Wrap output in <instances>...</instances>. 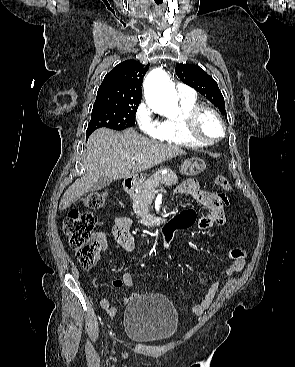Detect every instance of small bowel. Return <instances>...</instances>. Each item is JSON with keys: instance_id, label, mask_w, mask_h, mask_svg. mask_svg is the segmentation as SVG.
Instances as JSON below:
<instances>
[{"instance_id": "c3829d8e", "label": "small bowel", "mask_w": 295, "mask_h": 367, "mask_svg": "<svg viewBox=\"0 0 295 367\" xmlns=\"http://www.w3.org/2000/svg\"><path fill=\"white\" fill-rule=\"evenodd\" d=\"M178 196L192 197L199 204L206 208V213L199 219L198 227L201 230H207L212 227L222 226L225 222V213L222 206L221 198L217 195L214 196L211 192L203 190L199 183L194 179H187L183 181L175 191ZM132 221L126 216H117L113 221L112 235L119 246L125 251H132L135 249V237L130 231ZM101 240L103 249L107 248V241L101 235L98 234ZM243 264H237L233 262L232 266L228 270L227 274L232 275L242 270ZM96 286H99V281H94ZM115 287L127 286L133 288V277L129 272H125L120 279H116L112 282ZM219 282H213L207 289L203 299L191 308V312L194 315H202L211 305L218 289ZM135 297L136 292H132L130 296L125 298L124 304H128ZM100 306L104 309L110 317H114L118 311V307L111 304L108 298H103L100 301Z\"/></svg>"}]
</instances>
